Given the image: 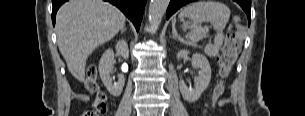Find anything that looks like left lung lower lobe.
<instances>
[{
  "instance_id": "obj_1",
  "label": "left lung lower lobe",
  "mask_w": 305,
  "mask_h": 116,
  "mask_svg": "<svg viewBox=\"0 0 305 116\" xmlns=\"http://www.w3.org/2000/svg\"><path fill=\"white\" fill-rule=\"evenodd\" d=\"M193 1L195 0H171L167 9L166 19H169L182 6ZM236 2L243 8L250 22L251 0H236Z\"/></svg>"
}]
</instances>
